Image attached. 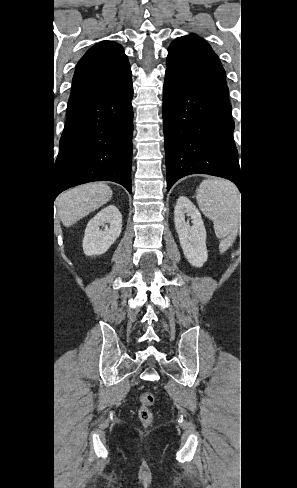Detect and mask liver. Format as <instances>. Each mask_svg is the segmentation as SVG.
<instances>
[{
    "label": "liver",
    "instance_id": "obj_1",
    "mask_svg": "<svg viewBox=\"0 0 297 488\" xmlns=\"http://www.w3.org/2000/svg\"><path fill=\"white\" fill-rule=\"evenodd\" d=\"M112 194L111 188L104 183H90L72 188L57 198V213L63 225L70 227L106 204Z\"/></svg>",
    "mask_w": 297,
    "mask_h": 488
}]
</instances>
